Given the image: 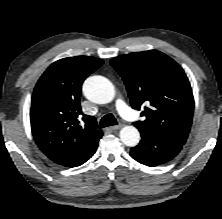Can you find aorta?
I'll return each instance as SVG.
<instances>
[{"label": "aorta", "instance_id": "aorta-1", "mask_svg": "<svg viewBox=\"0 0 222 219\" xmlns=\"http://www.w3.org/2000/svg\"><path fill=\"white\" fill-rule=\"evenodd\" d=\"M83 93L92 102L106 104L113 100L115 89L107 78L91 76L84 82ZM120 140L126 146L134 147L139 143L140 133L134 126H125L120 131Z\"/></svg>", "mask_w": 222, "mask_h": 219}]
</instances>
